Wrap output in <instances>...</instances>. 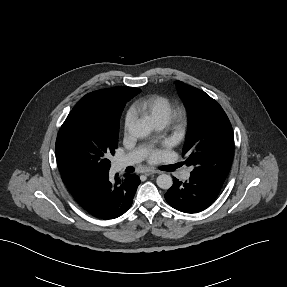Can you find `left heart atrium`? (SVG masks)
Returning a JSON list of instances; mask_svg holds the SVG:
<instances>
[{"label": "left heart atrium", "instance_id": "39dd6f15", "mask_svg": "<svg viewBox=\"0 0 287 287\" xmlns=\"http://www.w3.org/2000/svg\"><path fill=\"white\" fill-rule=\"evenodd\" d=\"M161 155H162V152L159 151V150H154L150 156H149V160L151 162H155V161H158L160 158H161Z\"/></svg>", "mask_w": 287, "mask_h": 287}]
</instances>
